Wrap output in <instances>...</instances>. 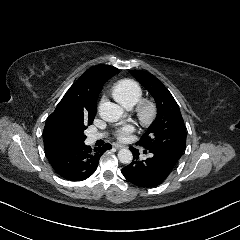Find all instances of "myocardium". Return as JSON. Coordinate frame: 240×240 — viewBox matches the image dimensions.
<instances>
[{"label":"myocardium","instance_id":"myocardium-1","mask_svg":"<svg viewBox=\"0 0 240 240\" xmlns=\"http://www.w3.org/2000/svg\"><path fill=\"white\" fill-rule=\"evenodd\" d=\"M136 113L142 125L150 126L158 115V109L152 100L143 99L139 102Z\"/></svg>","mask_w":240,"mask_h":240}]
</instances>
